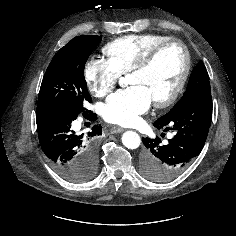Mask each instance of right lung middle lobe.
Wrapping results in <instances>:
<instances>
[{
  "mask_svg": "<svg viewBox=\"0 0 236 236\" xmlns=\"http://www.w3.org/2000/svg\"><path fill=\"white\" fill-rule=\"evenodd\" d=\"M100 40V36H78L55 54L43 77L37 106L61 107L75 113L86 110L84 103H91L92 99L84 78V67ZM96 168L97 158L93 157L82 167L78 181L90 179Z\"/></svg>",
  "mask_w": 236,
  "mask_h": 236,
  "instance_id": "obj_1",
  "label": "right lung middle lobe"
}]
</instances>
